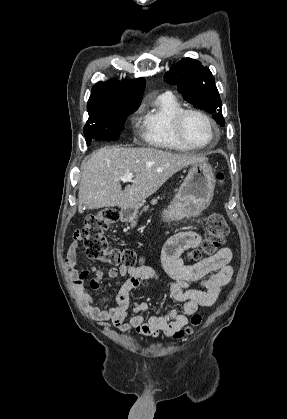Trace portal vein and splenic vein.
Listing matches in <instances>:
<instances>
[{
	"instance_id": "18ae733b",
	"label": "portal vein and splenic vein",
	"mask_w": 287,
	"mask_h": 419,
	"mask_svg": "<svg viewBox=\"0 0 287 419\" xmlns=\"http://www.w3.org/2000/svg\"><path fill=\"white\" fill-rule=\"evenodd\" d=\"M134 177V173H128L124 176H121L119 179L123 182H131Z\"/></svg>"
}]
</instances>
